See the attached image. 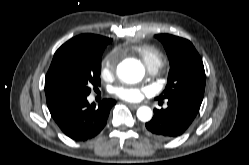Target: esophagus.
I'll return each instance as SVG.
<instances>
[{
    "mask_svg": "<svg viewBox=\"0 0 249 165\" xmlns=\"http://www.w3.org/2000/svg\"><path fill=\"white\" fill-rule=\"evenodd\" d=\"M128 106L133 108V109H136L139 107V104L128 103Z\"/></svg>",
    "mask_w": 249,
    "mask_h": 165,
    "instance_id": "34e87169",
    "label": "esophagus"
}]
</instances>
